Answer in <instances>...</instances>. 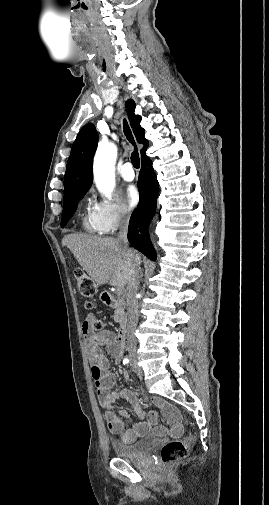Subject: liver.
<instances>
[{"label": "liver", "mask_w": 269, "mask_h": 505, "mask_svg": "<svg viewBox=\"0 0 269 505\" xmlns=\"http://www.w3.org/2000/svg\"><path fill=\"white\" fill-rule=\"evenodd\" d=\"M62 245L71 250L97 285L109 282L112 286H126L131 278L133 258L141 261L137 252L132 249L126 251L112 237L68 234L62 239Z\"/></svg>", "instance_id": "obj_1"}]
</instances>
